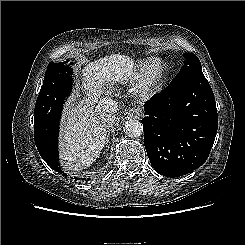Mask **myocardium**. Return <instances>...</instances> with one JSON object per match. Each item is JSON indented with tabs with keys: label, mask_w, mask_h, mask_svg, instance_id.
Returning <instances> with one entry per match:
<instances>
[{
	"label": "myocardium",
	"mask_w": 245,
	"mask_h": 245,
	"mask_svg": "<svg viewBox=\"0 0 245 245\" xmlns=\"http://www.w3.org/2000/svg\"><path fill=\"white\" fill-rule=\"evenodd\" d=\"M164 72L165 63L161 59L153 58L149 61L139 84V93L142 98L148 99L156 94Z\"/></svg>",
	"instance_id": "obj_1"
}]
</instances>
